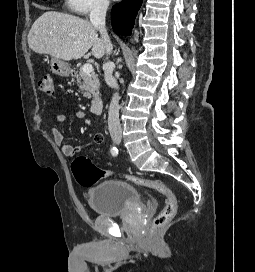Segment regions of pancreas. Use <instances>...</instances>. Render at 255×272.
<instances>
[{"label":"pancreas","instance_id":"1","mask_svg":"<svg viewBox=\"0 0 255 272\" xmlns=\"http://www.w3.org/2000/svg\"><path fill=\"white\" fill-rule=\"evenodd\" d=\"M80 80H83L81 83ZM79 87L83 95L87 98L99 94V79L95 72L85 73L82 71V68L79 70Z\"/></svg>","mask_w":255,"mask_h":272}]
</instances>
